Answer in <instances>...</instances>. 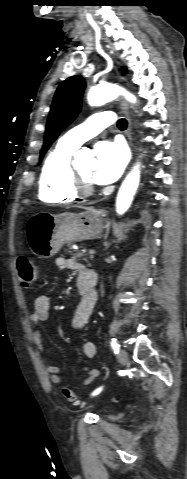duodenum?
<instances>
[{
  "label": "duodenum",
  "instance_id": "duodenum-1",
  "mask_svg": "<svg viewBox=\"0 0 187 479\" xmlns=\"http://www.w3.org/2000/svg\"><path fill=\"white\" fill-rule=\"evenodd\" d=\"M97 285V276L93 271H89L86 275L83 284H82V291L86 295H90L95 291Z\"/></svg>",
  "mask_w": 187,
  "mask_h": 479
}]
</instances>
